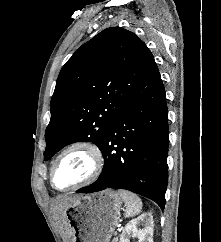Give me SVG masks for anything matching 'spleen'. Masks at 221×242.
I'll return each mask as SVG.
<instances>
[{
  "label": "spleen",
  "mask_w": 221,
  "mask_h": 242,
  "mask_svg": "<svg viewBox=\"0 0 221 242\" xmlns=\"http://www.w3.org/2000/svg\"><path fill=\"white\" fill-rule=\"evenodd\" d=\"M118 194L126 205L125 217H133L141 212L142 201L136 194L125 190H119Z\"/></svg>",
  "instance_id": "3e777b00"
}]
</instances>
